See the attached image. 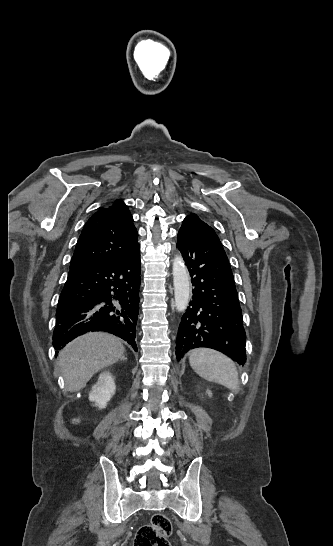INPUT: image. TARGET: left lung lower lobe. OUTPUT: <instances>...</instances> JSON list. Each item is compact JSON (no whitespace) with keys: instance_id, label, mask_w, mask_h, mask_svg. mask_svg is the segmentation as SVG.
<instances>
[{"instance_id":"left-lung-lower-lobe-1","label":"left lung lower lobe","mask_w":333,"mask_h":546,"mask_svg":"<svg viewBox=\"0 0 333 546\" xmlns=\"http://www.w3.org/2000/svg\"><path fill=\"white\" fill-rule=\"evenodd\" d=\"M176 247L191 276L192 300L181 318L176 339L179 361L190 349L208 347L238 364L246 362L243 316L228 258L219 239L184 220Z\"/></svg>"}]
</instances>
